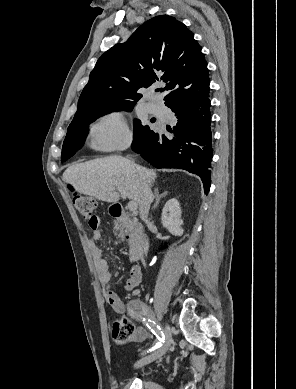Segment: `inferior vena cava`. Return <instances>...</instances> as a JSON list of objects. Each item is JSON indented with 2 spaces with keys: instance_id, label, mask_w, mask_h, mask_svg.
<instances>
[{
  "instance_id": "obj_1",
  "label": "inferior vena cava",
  "mask_w": 296,
  "mask_h": 389,
  "mask_svg": "<svg viewBox=\"0 0 296 389\" xmlns=\"http://www.w3.org/2000/svg\"><path fill=\"white\" fill-rule=\"evenodd\" d=\"M142 200L140 204V218L142 220H147L149 210H150V205L153 200V195L150 186L148 185L146 179L142 177Z\"/></svg>"
}]
</instances>
